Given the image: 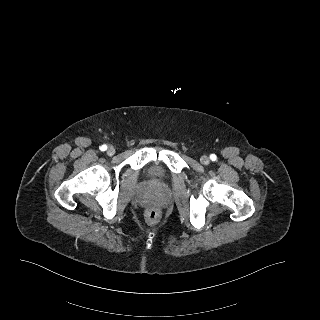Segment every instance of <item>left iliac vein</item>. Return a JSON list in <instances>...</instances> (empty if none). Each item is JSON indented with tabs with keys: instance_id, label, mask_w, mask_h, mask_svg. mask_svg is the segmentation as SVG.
I'll use <instances>...</instances> for the list:
<instances>
[{
	"instance_id": "obj_1",
	"label": "left iliac vein",
	"mask_w": 320,
	"mask_h": 320,
	"mask_svg": "<svg viewBox=\"0 0 320 320\" xmlns=\"http://www.w3.org/2000/svg\"><path fill=\"white\" fill-rule=\"evenodd\" d=\"M200 162H201L202 164H204V165H208V164L210 163V159H209L208 156L203 155V156H201V158H200Z\"/></svg>"
}]
</instances>
